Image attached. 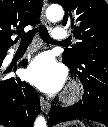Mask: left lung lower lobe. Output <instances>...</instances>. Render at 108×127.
Returning <instances> with one entry per match:
<instances>
[{"mask_svg":"<svg viewBox=\"0 0 108 127\" xmlns=\"http://www.w3.org/2000/svg\"><path fill=\"white\" fill-rule=\"evenodd\" d=\"M69 69L79 76L83 84V98L67 108L51 106L49 123L54 125L83 118L108 126V54L101 56L99 61L87 59L79 71Z\"/></svg>","mask_w":108,"mask_h":127,"instance_id":"1","label":"left lung lower lobe"}]
</instances>
